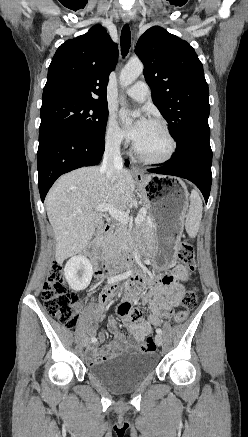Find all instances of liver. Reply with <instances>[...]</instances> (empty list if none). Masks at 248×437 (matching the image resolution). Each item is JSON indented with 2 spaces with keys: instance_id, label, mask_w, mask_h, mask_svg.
I'll use <instances>...</instances> for the list:
<instances>
[{
  "instance_id": "1",
  "label": "liver",
  "mask_w": 248,
  "mask_h": 437,
  "mask_svg": "<svg viewBox=\"0 0 248 437\" xmlns=\"http://www.w3.org/2000/svg\"><path fill=\"white\" fill-rule=\"evenodd\" d=\"M134 181L128 170L111 182L99 167H84L61 176L49 191L45 206L56 238L55 258L62 263L82 252L103 226L100 205L125 210L133 197Z\"/></svg>"
}]
</instances>
